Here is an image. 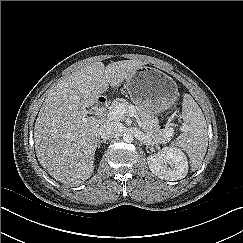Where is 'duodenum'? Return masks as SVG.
I'll return each instance as SVG.
<instances>
[{"label": "duodenum", "instance_id": "obj_1", "mask_svg": "<svg viewBox=\"0 0 243 243\" xmlns=\"http://www.w3.org/2000/svg\"><path fill=\"white\" fill-rule=\"evenodd\" d=\"M107 106H108V99L103 95L98 96L94 103L95 110L99 114H102L106 110Z\"/></svg>", "mask_w": 243, "mask_h": 243}]
</instances>
